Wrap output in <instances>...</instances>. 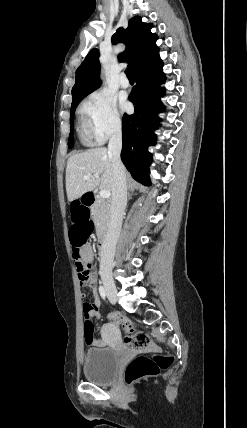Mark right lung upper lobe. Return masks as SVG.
<instances>
[{"label":"right lung upper lobe","mask_w":247,"mask_h":428,"mask_svg":"<svg viewBox=\"0 0 247 428\" xmlns=\"http://www.w3.org/2000/svg\"><path fill=\"white\" fill-rule=\"evenodd\" d=\"M152 27V23H143L141 17L136 16L129 21L127 29L119 28L112 36L113 44L119 42L126 44L125 51L118 59L129 63L128 67L133 73L159 58V48L155 44L157 35L151 33ZM98 58V50H91L76 71L75 85L72 88V105L100 86Z\"/></svg>","instance_id":"right-lung-upper-lobe-1"}]
</instances>
